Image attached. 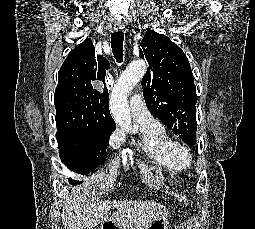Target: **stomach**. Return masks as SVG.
Returning <instances> with one entry per match:
<instances>
[{"instance_id":"obj_1","label":"stomach","mask_w":255,"mask_h":229,"mask_svg":"<svg viewBox=\"0 0 255 229\" xmlns=\"http://www.w3.org/2000/svg\"><path fill=\"white\" fill-rule=\"evenodd\" d=\"M110 221L107 222H103L102 226L100 229H104V227L106 225L109 224ZM112 223V222H110ZM112 228L113 229H122V227L117 226L116 224L112 223ZM144 229H168V216H161L155 220H153V222H151L148 226H146Z\"/></svg>"}]
</instances>
